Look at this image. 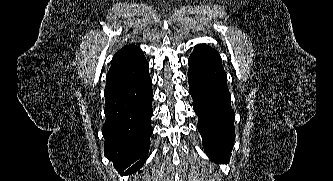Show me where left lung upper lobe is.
<instances>
[{"label":"left lung upper lobe","instance_id":"obj_1","mask_svg":"<svg viewBox=\"0 0 333 181\" xmlns=\"http://www.w3.org/2000/svg\"><path fill=\"white\" fill-rule=\"evenodd\" d=\"M199 46L202 47V48H205V49H207V50H209V51H211V52H213L214 54L219 55V53H218L215 49H213V48H211V47H208V46H206V45H199Z\"/></svg>","mask_w":333,"mask_h":181}]
</instances>
